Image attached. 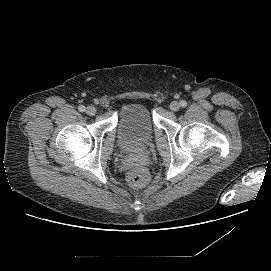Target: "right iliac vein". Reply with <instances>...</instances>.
Returning <instances> with one entry per match:
<instances>
[{
    "instance_id": "right-iliac-vein-1",
    "label": "right iliac vein",
    "mask_w": 271,
    "mask_h": 271,
    "mask_svg": "<svg viewBox=\"0 0 271 271\" xmlns=\"http://www.w3.org/2000/svg\"><path fill=\"white\" fill-rule=\"evenodd\" d=\"M86 113L90 116H93L96 114V108L94 106H88L86 109Z\"/></svg>"
}]
</instances>
